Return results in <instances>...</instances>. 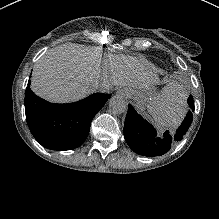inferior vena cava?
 <instances>
[{
  "label": "inferior vena cava",
  "mask_w": 219,
  "mask_h": 219,
  "mask_svg": "<svg viewBox=\"0 0 219 219\" xmlns=\"http://www.w3.org/2000/svg\"><path fill=\"white\" fill-rule=\"evenodd\" d=\"M96 89L102 92H110L112 85L105 79H98L94 82Z\"/></svg>",
  "instance_id": "obj_1"
}]
</instances>
